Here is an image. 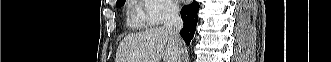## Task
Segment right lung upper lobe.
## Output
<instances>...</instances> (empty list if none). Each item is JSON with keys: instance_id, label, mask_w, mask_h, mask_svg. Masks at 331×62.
I'll return each instance as SVG.
<instances>
[{"instance_id": "1", "label": "right lung upper lobe", "mask_w": 331, "mask_h": 62, "mask_svg": "<svg viewBox=\"0 0 331 62\" xmlns=\"http://www.w3.org/2000/svg\"><path fill=\"white\" fill-rule=\"evenodd\" d=\"M121 1H123V0H117V3L121 2Z\"/></svg>"}]
</instances>
